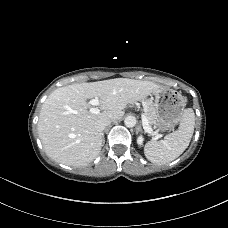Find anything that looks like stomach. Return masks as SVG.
Masks as SVG:
<instances>
[{
	"label": "stomach",
	"instance_id": "obj_1",
	"mask_svg": "<svg viewBox=\"0 0 228 228\" xmlns=\"http://www.w3.org/2000/svg\"><path fill=\"white\" fill-rule=\"evenodd\" d=\"M151 102L157 113V121L153 125L157 131L173 130L181 121L186 102L177 91L164 88L153 92Z\"/></svg>",
	"mask_w": 228,
	"mask_h": 228
}]
</instances>
